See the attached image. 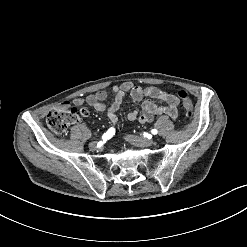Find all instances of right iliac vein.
I'll return each instance as SVG.
<instances>
[{
  "mask_svg": "<svg viewBox=\"0 0 247 247\" xmlns=\"http://www.w3.org/2000/svg\"><path fill=\"white\" fill-rule=\"evenodd\" d=\"M89 147H90V149H92V150H96L97 149V142H91L90 144H89Z\"/></svg>",
  "mask_w": 247,
  "mask_h": 247,
  "instance_id": "right-iliac-vein-1",
  "label": "right iliac vein"
}]
</instances>
